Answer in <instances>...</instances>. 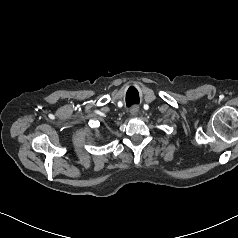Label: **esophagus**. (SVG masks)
Listing matches in <instances>:
<instances>
[{
	"mask_svg": "<svg viewBox=\"0 0 238 238\" xmlns=\"http://www.w3.org/2000/svg\"><path fill=\"white\" fill-rule=\"evenodd\" d=\"M138 112H139V109L136 108V107L132 108L131 111H130L131 115H133V116H136L138 114Z\"/></svg>",
	"mask_w": 238,
	"mask_h": 238,
	"instance_id": "1",
	"label": "esophagus"
}]
</instances>
